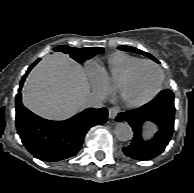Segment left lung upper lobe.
Masks as SVG:
<instances>
[{
	"label": "left lung upper lobe",
	"mask_w": 194,
	"mask_h": 193,
	"mask_svg": "<svg viewBox=\"0 0 194 193\" xmlns=\"http://www.w3.org/2000/svg\"><path fill=\"white\" fill-rule=\"evenodd\" d=\"M119 49L125 50V51H130V52H135V53H138V54H142V55H144V56H147V57L153 59V60L156 61L157 63H159L158 60H157L156 58H154L151 54L146 53V52H144V51H142V50H139V49H137V48L129 47V46H120Z\"/></svg>",
	"instance_id": "obj_1"
}]
</instances>
